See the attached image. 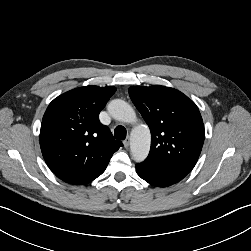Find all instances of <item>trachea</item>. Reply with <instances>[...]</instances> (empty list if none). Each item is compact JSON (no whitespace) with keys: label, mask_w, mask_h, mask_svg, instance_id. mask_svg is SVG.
<instances>
[{"label":"trachea","mask_w":251,"mask_h":251,"mask_svg":"<svg viewBox=\"0 0 251 251\" xmlns=\"http://www.w3.org/2000/svg\"><path fill=\"white\" fill-rule=\"evenodd\" d=\"M126 135H127V131H126L125 127L119 125L115 128L114 136L116 139L124 140L126 138Z\"/></svg>","instance_id":"3493384b"}]
</instances>
